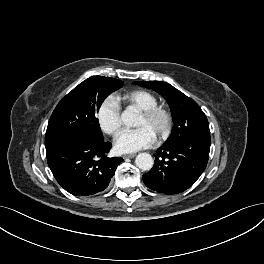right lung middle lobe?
Returning a JSON list of instances; mask_svg holds the SVG:
<instances>
[{"label":"right lung middle lobe","instance_id":"1","mask_svg":"<svg viewBox=\"0 0 264 264\" xmlns=\"http://www.w3.org/2000/svg\"><path fill=\"white\" fill-rule=\"evenodd\" d=\"M123 84L118 79L93 76L69 92L49 120L45 135L46 152L76 141L103 142L96 113L104 99Z\"/></svg>","mask_w":264,"mask_h":264}]
</instances>
